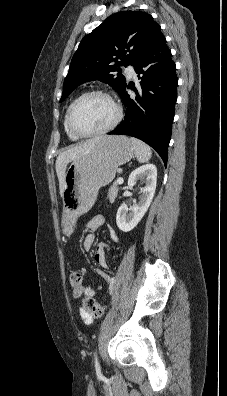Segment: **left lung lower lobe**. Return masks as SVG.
Segmentation results:
<instances>
[{
  "label": "left lung lower lobe",
  "instance_id": "1",
  "mask_svg": "<svg viewBox=\"0 0 227 396\" xmlns=\"http://www.w3.org/2000/svg\"><path fill=\"white\" fill-rule=\"evenodd\" d=\"M133 65L141 79V89L139 92L134 89L135 98L127 94V85L120 93L126 115L108 134H124L144 141L156 150L166 165L178 79L165 37H160Z\"/></svg>",
  "mask_w": 227,
  "mask_h": 396
}]
</instances>
